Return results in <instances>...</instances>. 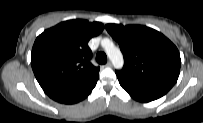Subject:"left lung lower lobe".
Instances as JSON below:
<instances>
[{
	"label": "left lung lower lobe",
	"instance_id": "obj_1",
	"mask_svg": "<svg viewBox=\"0 0 203 123\" xmlns=\"http://www.w3.org/2000/svg\"><path fill=\"white\" fill-rule=\"evenodd\" d=\"M119 83L122 88L135 100L140 102H150L156 100L166 93H163L158 90L150 89L147 87H143L129 81L123 80L118 77Z\"/></svg>",
	"mask_w": 203,
	"mask_h": 123
}]
</instances>
